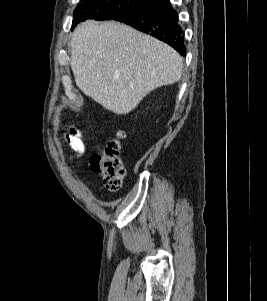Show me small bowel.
I'll return each mask as SVG.
<instances>
[{
	"mask_svg": "<svg viewBox=\"0 0 267 301\" xmlns=\"http://www.w3.org/2000/svg\"><path fill=\"white\" fill-rule=\"evenodd\" d=\"M66 140L77 156L83 154L85 150V144L82 131L75 128H70L69 133L66 135Z\"/></svg>",
	"mask_w": 267,
	"mask_h": 301,
	"instance_id": "obj_1",
	"label": "small bowel"
}]
</instances>
